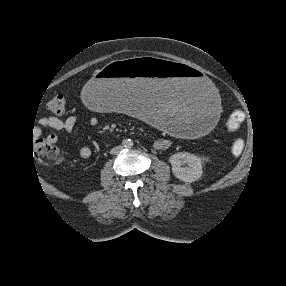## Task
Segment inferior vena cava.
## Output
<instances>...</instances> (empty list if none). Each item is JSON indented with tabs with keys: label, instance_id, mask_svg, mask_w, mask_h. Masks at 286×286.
I'll return each instance as SVG.
<instances>
[{
	"label": "inferior vena cava",
	"instance_id": "602c4592",
	"mask_svg": "<svg viewBox=\"0 0 286 286\" xmlns=\"http://www.w3.org/2000/svg\"><path fill=\"white\" fill-rule=\"evenodd\" d=\"M122 150V147L121 146H118V147H114L111 149L110 153L111 154H117L118 152H120Z\"/></svg>",
	"mask_w": 286,
	"mask_h": 286
}]
</instances>
